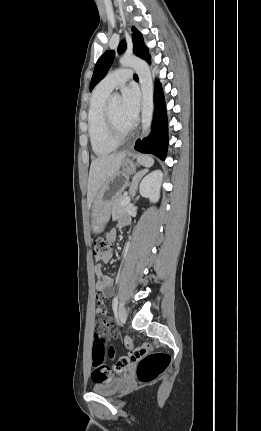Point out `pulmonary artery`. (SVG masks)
<instances>
[{"label": "pulmonary artery", "mask_w": 261, "mask_h": 431, "mask_svg": "<svg viewBox=\"0 0 261 431\" xmlns=\"http://www.w3.org/2000/svg\"><path fill=\"white\" fill-rule=\"evenodd\" d=\"M132 77V70L123 68L117 69L109 73L97 86V89L110 93L115 88L122 86L128 79Z\"/></svg>", "instance_id": "e3ab8cb5"}]
</instances>
